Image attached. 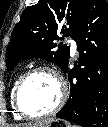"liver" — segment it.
<instances>
[{
	"mask_svg": "<svg viewBox=\"0 0 108 127\" xmlns=\"http://www.w3.org/2000/svg\"><path fill=\"white\" fill-rule=\"evenodd\" d=\"M53 120L54 119H52V118L38 120L34 123L22 124L19 127H43V126L47 125L48 123L52 122Z\"/></svg>",
	"mask_w": 108,
	"mask_h": 127,
	"instance_id": "liver-1",
	"label": "liver"
}]
</instances>
